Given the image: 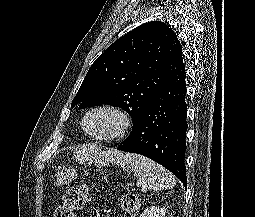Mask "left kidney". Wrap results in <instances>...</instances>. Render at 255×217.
<instances>
[{
  "mask_svg": "<svg viewBox=\"0 0 255 217\" xmlns=\"http://www.w3.org/2000/svg\"><path fill=\"white\" fill-rule=\"evenodd\" d=\"M166 210L165 207L150 206L143 211L140 217H165Z\"/></svg>",
  "mask_w": 255,
  "mask_h": 217,
  "instance_id": "left-kidney-1",
  "label": "left kidney"
}]
</instances>
